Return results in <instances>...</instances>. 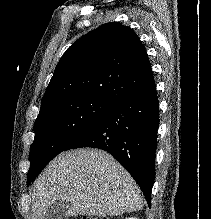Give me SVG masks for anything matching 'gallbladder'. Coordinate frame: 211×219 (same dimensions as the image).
<instances>
[{"label": "gallbladder", "mask_w": 211, "mask_h": 219, "mask_svg": "<svg viewBox=\"0 0 211 219\" xmlns=\"http://www.w3.org/2000/svg\"><path fill=\"white\" fill-rule=\"evenodd\" d=\"M71 204L66 200H57L53 202L46 213L45 219H63L65 212Z\"/></svg>", "instance_id": "1"}]
</instances>
